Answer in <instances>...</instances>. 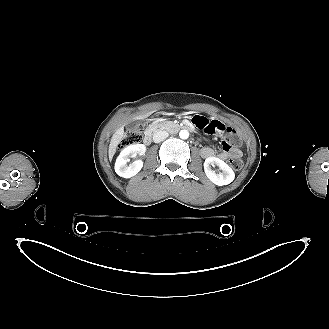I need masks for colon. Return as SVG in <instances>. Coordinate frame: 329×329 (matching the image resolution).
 Segmentation results:
<instances>
[{
	"label": "colon",
	"instance_id": "5ec220e1",
	"mask_svg": "<svg viewBox=\"0 0 329 329\" xmlns=\"http://www.w3.org/2000/svg\"><path fill=\"white\" fill-rule=\"evenodd\" d=\"M196 116V115H195ZM193 120V119H192ZM230 128V127H229ZM226 138H222V145L224 149H230L232 146H240L241 140L237 136L236 132L232 129ZM142 140V128L140 126L128 129L119 144V148L123 149L135 144L140 143ZM230 166L234 170H240L243 167V161L239 157H231L229 161Z\"/></svg>",
	"mask_w": 329,
	"mask_h": 329
}]
</instances>
